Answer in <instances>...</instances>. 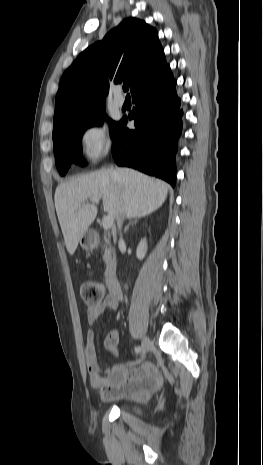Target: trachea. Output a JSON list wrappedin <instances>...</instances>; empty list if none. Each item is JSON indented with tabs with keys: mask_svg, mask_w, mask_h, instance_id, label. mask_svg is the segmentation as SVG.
Listing matches in <instances>:
<instances>
[{
	"mask_svg": "<svg viewBox=\"0 0 263 465\" xmlns=\"http://www.w3.org/2000/svg\"><path fill=\"white\" fill-rule=\"evenodd\" d=\"M123 90L125 92H127L129 90V85H127V84L123 85Z\"/></svg>",
	"mask_w": 263,
	"mask_h": 465,
	"instance_id": "1",
	"label": "trachea"
}]
</instances>
